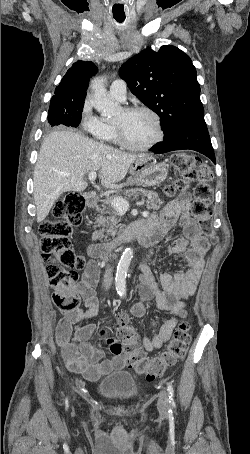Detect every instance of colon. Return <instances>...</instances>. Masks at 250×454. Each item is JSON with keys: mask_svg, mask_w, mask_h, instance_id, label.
<instances>
[{"mask_svg": "<svg viewBox=\"0 0 250 454\" xmlns=\"http://www.w3.org/2000/svg\"><path fill=\"white\" fill-rule=\"evenodd\" d=\"M178 177L165 187L168 196L184 192L196 182L192 214L199 229L213 243L217 236L212 225L211 208L208 199L212 194L213 173L210 167L193 154L178 153L172 157ZM86 205L80 193H69L59 200L53 216L45 220L39 228L42 235L41 253L46 264V275L53 290L52 299L62 312H73L80 305V298L75 284L78 271L84 268V260L71 247L73 228L81 223V213ZM98 335L107 337L105 330ZM190 341V325L182 321L175 329L167 347L158 355L147 358L138 346L137 335L129 323V317L123 314L114 338L107 339L109 350L114 355H125L129 365L148 380L162 376L180 358L185 355Z\"/></svg>", "mask_w": 250, "mask_h": 454, "instance_id": "obj_1", "label": "colon"}]
</instances>
